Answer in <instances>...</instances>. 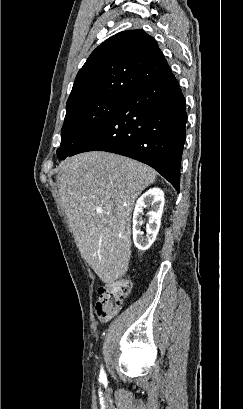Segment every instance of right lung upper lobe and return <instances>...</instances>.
Returning <instances> with one entry per match:
<instances>
[{"label": "right lung upper lobe", "mask_w": 243, "mask_h": 409, "mask_svg": "<svg viewBox=\"0 0 243 409\" xmlns=\"http://www.w3.org/2000/svg\"><path fill=\"white\" fill-rule=\"evenodd\" d=\"M171 73L156 40L143 30L107 39L78 72L67 106L99 98H126Z\"/></svg>", "instance_id": "1"}]
</instances>
